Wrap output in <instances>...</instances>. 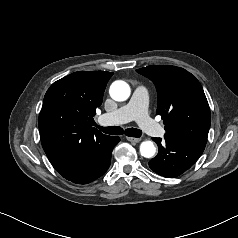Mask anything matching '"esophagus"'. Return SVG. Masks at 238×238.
Instances as JSON below:
<instances>
[{"mask_svg": "<svg viewBox=\"0 0 238 238\" xmlns=\"http://www.w3.org/2000/svg\"><path fill=\"white\" fill-rule=\"evenodd\" d=\"M126 139L130 142H135V143H138L141 141V138H136V137H126Z\"/></svg>", "mask_w": 238, "mask_h": 238, "instance_id": "34e87169", "label": "esophagus"}]
</instances>
